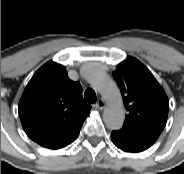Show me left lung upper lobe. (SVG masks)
<instances>
[{
    "label": "left lung upper lobe",
    "instance_id": "5c2ea615",
    "mask_svg": "<svg viewBox=\"0 0 184 174\" xmlns=\"http://www.w3.org/2000/svg\"><path fill=\"white\" fill-rule=\"evenodd\" d=\"M113 76L127 110L123 127L158 138L167 122L169 102L155 77L133 57L118 64Z\"/></svg>",
    "mask_w": 184,
    "mask_h": 174
}]
</instances>
